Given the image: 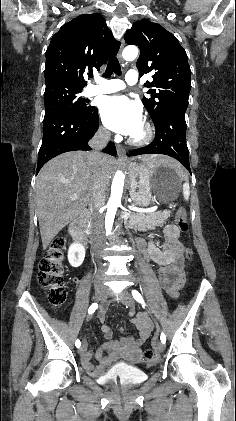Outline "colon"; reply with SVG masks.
Masks as SVG:
<instances>
[{
	"label": "colon",
	"mask_w": 236,
	"mask_h": 421,
	"mask_svg": "<svg viewBox=\"0 0 236 421\" xmlns=\"http://www.w3.org/2000/svg\"><path fill=\"white\" fill-rule=\"evenodd\" d=\"M176 224L179 230H188L187 214L184 208H180L176 214ZM65 240L62 237L55 238L45 255L39 263L38 282L43 288L48 301L53 307L61 306L66 300L65 271L64 264ZM187 260L192 258V250L184 249ZM155 352L148 349L144 353V358L148 361L154 359Z\"/></svg>",
	"instance_id": "5ec220e1"
}]
</instances>
